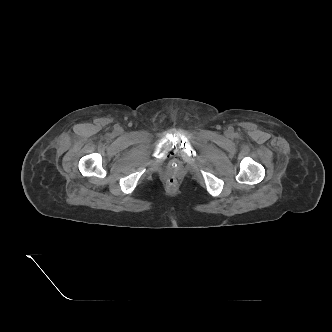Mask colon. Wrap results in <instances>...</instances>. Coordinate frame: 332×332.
<instances>
[{"mask_svg":"<svg viewBox=\"0 0 332 332\" xmlns=\"http://www.w3.org/2000/svg\"><path fill=\"white\" fill-rule=\"evenodd\" d=\"M167 184H168V186H170V187L175 186V185H176V179H175V178H169V179L167 180Z\"/></svg>","mask_w":332,"mask_h":332,"instance_id":"5ec220e1","label":"colon"}]
</instances>
